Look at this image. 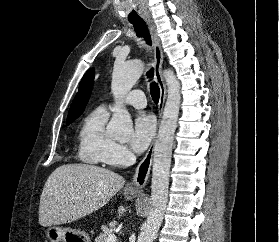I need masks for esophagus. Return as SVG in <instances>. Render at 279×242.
I'll return each instance as SVG.
<instances>
[{"label": "esophagus", "mask_w": 279, "mask_h": 242, "mask_svg": "<svg viewBox=\"0 0 279 242\" xmlns=\"http://www.w3.org/2000/svg\"><path fill=\"white\" fill-rule=\"evenodd\" d=\"M147 25L149 27L153 42L155 79L160 88V99L158 104L160 118L166 100V85L162 75L163 51L155 26L150 21H147ZM154 141L155 140H153V142L151 143L145 157L138 164L132 181L126 186L127 191L141 192L146 185L152 165Z\"/></svg>", "instance_id": "obj_1"}]
</instances>
